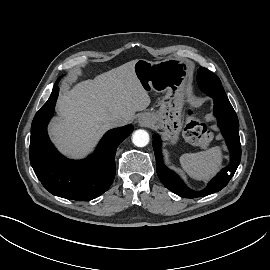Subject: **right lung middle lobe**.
Segmentation results:
<instances>
[{
  "label": "right lung middle lobe",
  "instance_id": "right-lung-middle-lobe-1",
  "mask_svg": "<svg viewBox=\"0 0 270 270\" xmlns=\"http://www.w3.org/2000/svg\"><path fill=\"white\" fill-rule=\"evenodd\" d=\"M59 80H60V77L58 78V80L56 82H59Z\"/></svg>",
  "mask_w": 270,
  "mask_h": 270
}]
</instances>
